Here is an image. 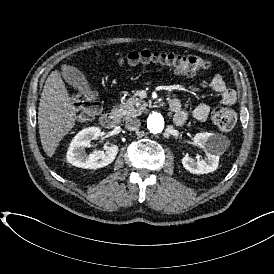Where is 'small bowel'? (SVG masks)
<instances>
[{
	"instance_id": "1",
	"label": "small bowel",
	"mask_w": 274,
	"mask_h": 274,
	"mask_svg": "<svg viewBox=\"0 0 274 274\" xmlns=\"http://www.w3.org/2000/svg\"><path fill=\"white\" fill-rule=\"evenodd\" d=\"M203 84L220 96V104L232 105L237 99L236 92L227 86L225 79L220 74L213 75L210 79L203 81ZM170 109L174 113V123L183 125L187 120V112L181 107L177 99L170 101ZM210 113V107L205 103L198 104L192 112L193 117L198 121H205Z\"/></svg>"
}]
</instances>
